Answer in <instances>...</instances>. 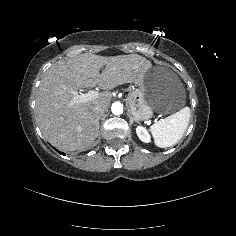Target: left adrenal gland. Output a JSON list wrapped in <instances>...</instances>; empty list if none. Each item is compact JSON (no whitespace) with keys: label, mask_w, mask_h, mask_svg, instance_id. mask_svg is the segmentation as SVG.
I'll return each instance as SVG.
<instances>
[{"label":"left adrenal gland","mask_w":236,"mask_h":236,"mask_svg":"<svg viewBox=\"0 0 236 236\" xmlns=\"http://www.w3.org/2000/svg\"><path fill=\"white\" fill-rule=\"evenodd\" d=\"M127 115H128V116H129V118H130V124H132V123H133V121H134V118L131 116L130 112H129Z\"/></svg>","instance_id":"left-adrenal-gland-1"}]
</instances>
